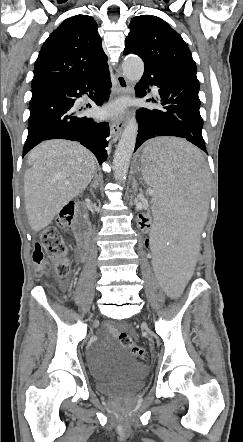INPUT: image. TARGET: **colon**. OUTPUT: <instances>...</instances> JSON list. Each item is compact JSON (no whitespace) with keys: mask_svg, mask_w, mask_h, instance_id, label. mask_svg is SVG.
<instances>
[{"mask_svg":"<svg viewBox=\"0 0 243 442\" xmlns=\"http://www.w3.org/2000/svg\"><path fill=\"white\" fill-rule=\"evenodd\" d=\"M77 207L73 203H67L62 206L58 216L59 227H69L73 223ZM154 218H145V216H136L135 223L138 227V231H142L141 239L143 241L142 246L146 253L151 251V236L154 231L151 229ZM46 256L52 260L54 264L55 272L60 277L68 275L70 270V262L68 259V246L61 237L56 227H47L41 237V241L36 243L34 251L32 253L33 263L36 266L37 274L44 273L49 265L46 260ZM207 257L203 254H199L196 257L194 268L200 271L204 268V262ZM120 343L128 348L133 356L141 360L143 365H153V356H148L146 349L142 346H138L134 343L132 337L126 333L121 332L119 334Z\"/></svg>","mask_w":243,"mask_h":442,"instance_id":"1","label":"colon"}]
</instances>
